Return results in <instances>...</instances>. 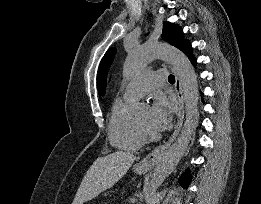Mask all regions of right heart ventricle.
Masks as SVG:
<instances>
[{
    "label": "right heart ventricle",
    "instance_id": "right-heart-ventricle-1",
    "mask_svg": "<svg viewBox=\"0 0 261 204\" xmlns=\"http://www.w3.org/2000/svg\"><path fill=\"white\" fill-rule=\"evenodd\" d=\"M133 103L134 100L117 98L112 105L108 122L111 145L128 152H136L145 144V138L131 112Z\"/></svg>",
    "mask_w": 261,
    "mask_h": 204
}]
</instances>
